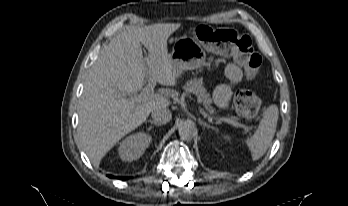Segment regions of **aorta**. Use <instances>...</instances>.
I'll list each match as a JSON object with an SVG mask.
<instances>
[{
    "instance_id": "1",
    "label": "aorta",
    "mask_w": 348,
    "mask_h": 206,
    "mask_svg": "<svg viewBox=\"0 0 348 206\" xmlns=\"http://www.w3.org/2000/svg\"><path fill=\"white\" fill-rule=\"evenodd\" d=\"M179 136L183 140H191L195 135V127L189 122H182L178 127Z\"/></svg>"
}]
</instances>
